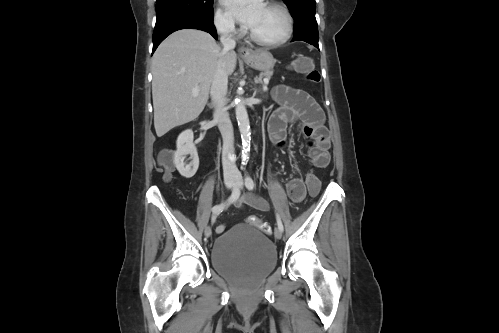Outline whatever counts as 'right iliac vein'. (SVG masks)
<instances>
[{
    "mask_svg": "<svg viewBox=\"0 0 499 333\" xmlns=\"http://www.w3.org/2000/svg\"><path fill=\"white\" fill-rule=\"evenodd\" d=\"M224 183H225V186L227 189H231L234 185V179L232 177H226L225 180H224ZM211 228L210 226H207L205 228V231H204V234H205V237H210L211 236Z\"/></svg>",
    "mask_w": 499,
    "mask_h": 333,
    "instance_id": "1",
    "label": "right iliac vein"
}]
</instances>
